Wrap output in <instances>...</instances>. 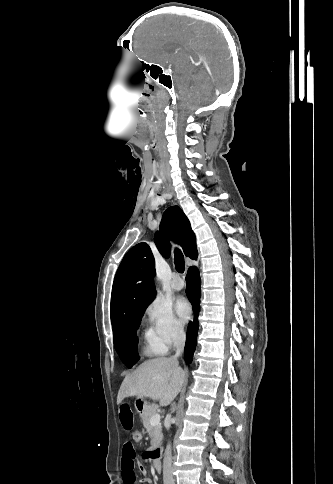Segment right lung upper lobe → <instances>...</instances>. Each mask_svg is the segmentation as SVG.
<instances>
[{
    "mask_svg": "<svg viewBox=\"0 0 333 484\" xmlns=\"http://www.w3.org/2000/svg\"><path fill=\"white\" fill-rule=\"evenodd\" d=\"M174 239L186 256L197 259L196 238L189 220L178 206L169 207L163 214L160 231L155 234V244L164 257H169ZM155 261L148 244L134 246L123 258L116 273L111 298L113 335L125 319L134 312L145 310L155 295Z\"/></svg>",
    "mask_w": 333,
    "mask_h": 484,
    "instance_id": "cb5924a9",
    "label": "right lung upper lobe"
}]
</instances>
